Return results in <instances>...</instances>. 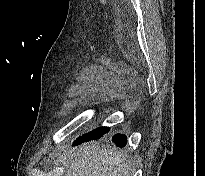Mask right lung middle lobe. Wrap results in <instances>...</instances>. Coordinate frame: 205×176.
Segmentation results:
<instances>
[{
  "instance_id": "obj_1",
  "label": "right lung middle lobe",
  "mask_w": 205,
  "mask_h": 176,
  "mask_svg": "<svg viewBox=\"0 0 205 176\" xmlns=\"http://www.w3.org/2000/svg\"><path fill=\"white\" fill-rule=\"evenodd\" d=\"M109 127H99L89 133H86L84 135H82L81 137H79L77 139V141L80 140V142H84V141H90V140H95V139H99L101 138L105 133H107L109 131Z\"/></svg>"
}]
</instances>
